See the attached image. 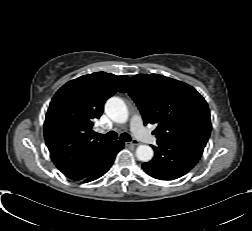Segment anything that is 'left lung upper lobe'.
<instances>
[{"instance_id":"obj_1","label":"left lung upper lobe","mask_w":252,"mask_h":231,"mask_svg":"<svg viewBox=\"0 0 252 231\" xmlns=\"http://www.w3.org/2000/svg\"><path fill=\"white\" fill-rule=\"evenodd\" d=\"M137 104L144 124H157V141L191 142L203 147L210 136V111L190 85L158 74H138L121 88Z\"/></svg>"}]
</instances>
